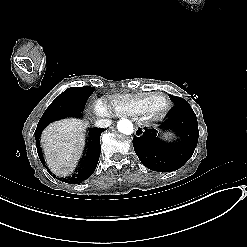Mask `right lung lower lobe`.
<instances>
[{
  "label": "right lung lower lobe",
  "instance_id": "98d812e1",
  "mask_svg": "<svg viewBox=\"0 0 247 247\" xmlns=\"http://www.w3.org/2000/svg\"><path fill=\"white\" fill-rule=\"evenodd\" d=\"M80 115L81 114L78 113V114H74V115H70V116L79 117ZM63 117H66V116H63ZM63 117H60V118H63ZM60 118H57V119H60ZM57 119H54V120H57ZM54 120H41L40 119V121L38 122L37 128L35 130L37 152H38L41 163L45 167H46V165H45L44 157H43V154H42V151L40 148L39 138H40V134H41L42 130L50 122H52ZM104 130L105 129H102V128H91L90 129L86 152L82 158V161L80 163L78 170L76 171L75 174H73L72 177L67 178V179L58 178V180H60L62 182H68V183H81L82 181L86 180L87 178H89L93 174V172L97 166L100 152H101V145H100V141H99L100 135ZM49 173L51 174L50 171H49ZM53 177H54V175H53Z\"/></svg>",
  "mask_w": 247,
  "mask_h": 247
}]
</instances>
